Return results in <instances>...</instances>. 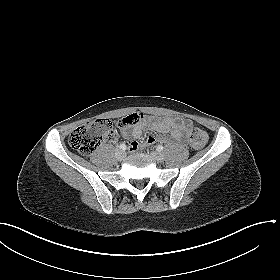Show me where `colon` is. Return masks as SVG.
I'll use <instances>...</instances> for the list:
<instances>
[{
    "label": "colon",
    "mask_w": 280,
    "mask_h": 280,
    "mask_svg": "<svg viewBox=\"0 0 280 280\" xmlns=\"http://www.w3.org/2000/svg\"><path fill=\"white\" fill-rule=\"evenodd\" d=\"M141 117L130 115L121 122L122 126H132ZM114 124L109 119H97L76 128L69 136V145L82 155L91 154L102 142L110 140L114 135ZM190 146L193 149L202 148L208 139L205 131L198 127H191L188 132ZM133 150L139 147L137 141L131 142Z\"/></svg>",
    "instance_id": "5ec220e1"
}]
</instances>
